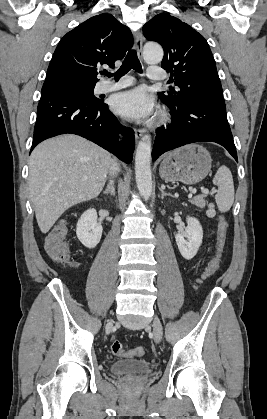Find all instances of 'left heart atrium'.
Returning <instances> with one entry per match:
<instances>
[{
	"label": "left heart atrium",
	"mask_w": 267,
	"mask_h": 419,
	"mask_svg": "<svg viewBox=\"0 0 267 419\" xmlns=\"http://www.w3.org/2000/svg\"><path fill=\"white\" fill-rule=\"evenodd\" d=\"M115 113L135 120L149 118L154 112V99L145 88H135L116 94L111 102Z\"/></svg>",
	"instance_id": "1"
}]
</instances>
